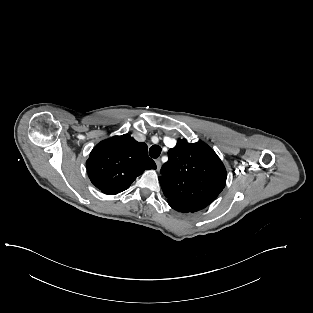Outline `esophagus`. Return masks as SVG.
<instances>
[{"instance_id":"34e87169","label":"esophagus","mask_w":313,"mask_h":313,"mask_svg":"<svg viewBox=\"0 0 313 313\" xmlns=\"http://www.w3.org/2000/svg\"><path fill=\"white\" fill-rule=\"evenodd\" d=\"M155 163H156V166H157V170L159 171L160 168H161V161H160V159H156Z\"/></svg>"}]
</instances>
